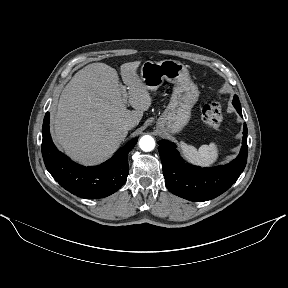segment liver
Returning <instances> with one entry per match:
<instances>
[{
    "mask_svg": "<svg viewBox=\"0 0 288 288\" xmlns=\"http://www.w3.org/2000/svg\"><path fill=\"white\" fill-rule=\"evenodd\" d=\"M139 65L135 61L120 66L133 111L123 102L117 71L104 63L85 66L65 86L52 130L55 141L73 160L84 165L105 161L127 136L125 122H140L152 99L136 73Z\"/></svg>",
    "mask_w": 288,
    "mask_h": 288,
    "instance_id": "6515ba94",
    "label": "liver"
}]
</instances>
